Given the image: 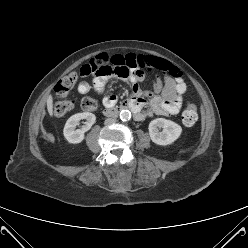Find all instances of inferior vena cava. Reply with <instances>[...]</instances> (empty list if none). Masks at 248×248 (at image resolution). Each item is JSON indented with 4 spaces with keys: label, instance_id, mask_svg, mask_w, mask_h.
I'll return each instance as SVG.
<instances>
[{
    "label": "inferior vena cava",
    "instance_id": "inferior-vena-cava-1",
    "mask_svg": "<svg viewBox=\"0 0 248 248\" xmlns=\"http://www.w3.org/2000/svg\"><path fill=\"white\" fill-rule=\"evenodd\" d=\"M115 122H116V119L114 118H108L105 120L106 125H111V124H114Z\"/></svg>",
    "mask_w": 248,
    "mask_h": 248
}]
</instances>
